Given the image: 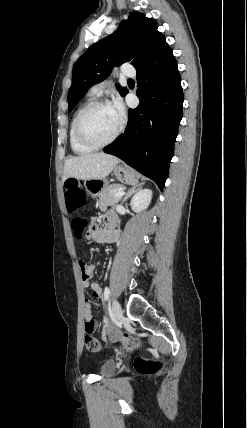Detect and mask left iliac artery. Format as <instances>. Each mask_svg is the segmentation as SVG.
Instances as JSON below:
<instances>
[{
	"label": "left iliac artery",
	"mask_w": 247,
	"mask_h": 428,
	"mask_svg": "<svg viewBox=\"0 0 247 428\" xmlns=\"http://www.w3.org/2000/svg\"><path fill=\"white\" fill-rule=\"evenodd\" d=\"M109 296H110V290H109L108 287H105V290H104V300L105 301L108 300Z\"/></svg>",
	"instance_id": "left-iliac-artery-1"
}]
</instances>
